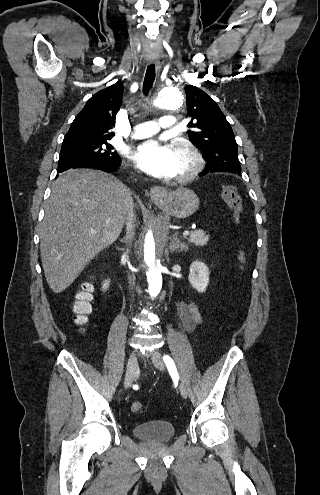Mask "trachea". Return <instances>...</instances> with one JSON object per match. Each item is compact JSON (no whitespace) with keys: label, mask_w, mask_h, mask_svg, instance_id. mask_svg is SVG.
<instances>
[{"label":"trachea","mask_w":320,"mask_h":495,"mask_svg":"<svg viewBox=\"0 0 320 495\" xmlns=\"http://www.w3.org/2000/svg\"><path fill=\"white\" fill-rule=\"evenodd\" d=\"M155 80V66L149 65L146 70L145 79L143 83V93L146 96Z\"/></svg>","instance_id":"3493384b"}]
</instances>
